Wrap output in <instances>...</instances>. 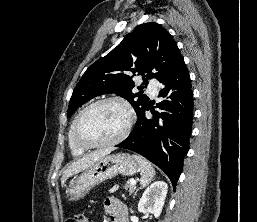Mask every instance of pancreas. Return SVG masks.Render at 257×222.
Segmentation results:
<instances>
[{
  "mask_svg": "<svg viewBox=\"0 0 257 222\" xmlns=\"http://www.w3.org/2000/svg\"><path fill=\"white\" fill-rule=\"evenodd\" d=\"M125 189L129 191V193H133L134 190L136 189L135 185H131L130 181L127 182ZM116 189H111L110 192L113 193Z\"/></svg>",
  "mask_w": 257,
  "mask_h": 222,
  "instance_id": "cf45deb5",
  "label": "pancreas"
}]
</instances>
